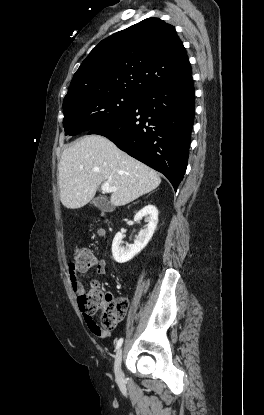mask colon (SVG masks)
Instances as JSON below:
<instances>
[{
    "mask_svg": "<svg viewBox=\"0 0 264 415\" xmlns=\"http://www.w3.org/2000/svg\"><path fill=\"white\" fill-rule=\"evenodd\" d=\"M94 264L93 253L87 248H82L77 250L70 260L69 272L74 274L80 268H90ZM78 302L80 310L88 318L90 328L94 330L111 328L125 317L128 309L126 298L115 297L104 291L96 282L90 284L89 289L79 297ZM99 310L102 311L101 325L92 318Z\"/></svg>",
    "mask_w": 264,
    "mask_h": 415,
    "instance_id": "obj_1",
    "label": "colon"
}]
</instances>
